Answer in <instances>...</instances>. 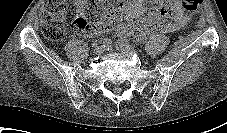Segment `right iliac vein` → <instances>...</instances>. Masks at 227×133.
Instances as JSON below:
<instances>
[{"instance_id":"right-iliac-vein-1","label":"right iliac vein","mask_w":227,"mask_h":133,"mask_svg":"<svg viewBox=\"0 0 227 133\" xmlns=\"http://www.w3.org/2000/svg\"><path fill=\"white\" fill-rule=\"evenodd\" d=\"M105 50V47L102 45H97L94 48V53L95 54H101Z\"/></svg>"}]
</instances>
